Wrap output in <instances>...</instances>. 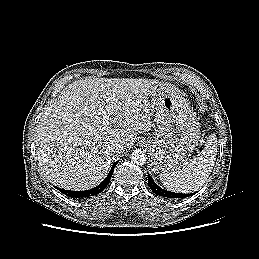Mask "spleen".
<instances>
[{"mask_svg":"<svg viewBox=\"0 0 259 259\" xmlns=\"http://www.w3.org/2000/svg\"><path fill=\"white\" fill-rule=\"evenodd\" d=\"M217 154L216 134H210L205 149L197 157L183 164L178 171L160 174L162 184L171 191L192 193L200 189L208 179Z\"/></svg>","mask_w":259,"mask_h":259,"instance_id":"obj_1","label":"spleen"}]
</instances>
